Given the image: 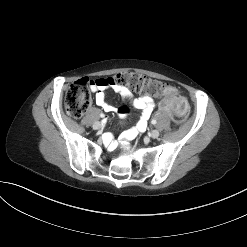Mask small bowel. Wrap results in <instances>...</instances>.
I'll use <instances>...</instances> for the list:
<instances>
[{
  "label": "small bowel",
  "instance_id": "1",
  "mask_svg": "<svg viewBox=\"0 0 247 247\" xmlns=\"http://www.w3.org/2000/svg\"><path fill=\"white\" fill-rule=\"evenodd\" d=\"M102 81L100 84H94L91 87V90L95 93V102L106 112H112L115 110V107L107 103L106 101V90L112 89L115 92L119 93L121 97L126 101H131L135 109L140 111V118L135 127L127 131L124 135L126 138L133 137L139 131H144L147 128L148 119L150 118L154 107L155 102L152 97L148 95L141 96L139 98H132L130 90L123 85L113 84L108 81V79H97ZM105 142L114 147V144L111 142L109 137L105 138Z\"/></svg>",
  "mask_w": 247,
  "mask_h": 247
}]
</instances>
